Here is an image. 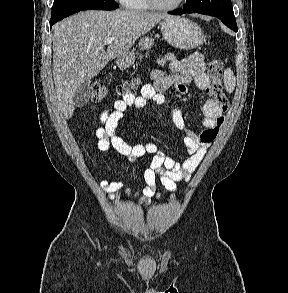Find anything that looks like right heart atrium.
<instances>
[{"label": "right heart atrium", "mask_w": 288, "mask_h": 293, "mask_svg": "<svg viewBox=\"0 0 288 293\" xmlns=\"http://www.w3.org/2000/svg\"><path fill=\"white\" fill-rule=\"evenodd\" d=\"M117 1L124 4L126 0H117Z\"/></svg>", "instance_id": "d8ad5b80"}]
</instances>
